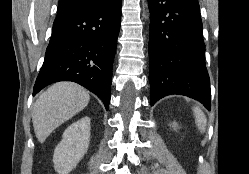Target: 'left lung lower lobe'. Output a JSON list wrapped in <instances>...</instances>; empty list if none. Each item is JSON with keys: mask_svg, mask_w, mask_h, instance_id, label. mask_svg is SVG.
Instances as JSON below:
<instances>
[{"mask_svg": "<svg viewBox=\"0 0 249 174\" xmlns=\"http://www.w3.org/2000/svg\"><path fill=\"white\" fill-rule=\"evenodd\" d=\"M151 105L171 94L200 101L208 110L210 81L199 7L187 0H148Z\"/></svg>", "mask_w": 249, "mask_h": 174, "instance_id": "left-lung-lower-lobe-1", "label": "left lung lower lobe"}]
</instances>
